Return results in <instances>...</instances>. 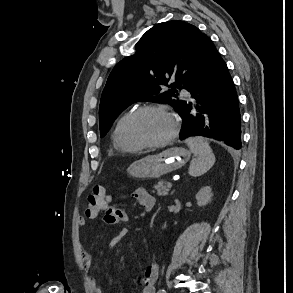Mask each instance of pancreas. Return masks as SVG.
<instances>
[{
    "label": "pancreas",
    "instance_id": "1",
    "mask_svg": "<svg viewBox=\"0 0 293 293\" xmlns=\"http://www.w3.org/2000/svg\"><path fill=\"white\" fill-rule=\"evenodd\" d=\"M167 184V181L161 180L158 184L154 185L152 193L156 190L158 196H166L169 191Z\"/></svg>",
    "mask_w": 293,
    "mask_h": 293
}]
</instances>
